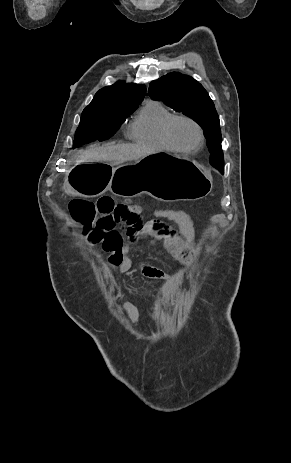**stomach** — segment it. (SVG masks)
<instances>
[{
	"label": "stomach",
	"mask_w": 291,
	"mask_h": 463,
	"mask_svg": "<svg viewBox=\"0 0 291 463\" xmlns=\"http://www.w3.org/2000/svg\"><path fill=\"white\" fill-rule=\"evenodd\" d=\"M107 190L118 196L146 193L164 202L198 200L212 190L210 175L195 161L177 154L157 152L133 164L116 166L88 163L75 167L66 177L69 196L96 197Z\"/></svg>",
	"instance_id": "obj_1"
}]
</instances>
